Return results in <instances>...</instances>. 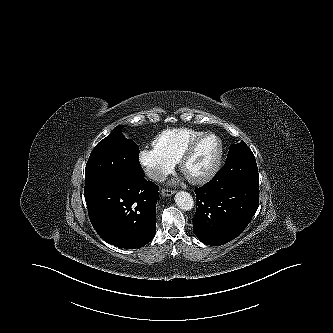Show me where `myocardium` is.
<instances>
[{
  "mask_svg": "<svg viewBox=\"0 0 333 333\" xmlns=\"http://www.w3.org/2000/svg\"><path fill=\"white\" fill-rule=\"evenodd\" d=\"M207 138H215L217 140L218 150H217L215 159L204 172H202L201 174H199L197 176L189 177L185 174L186 164L191 159V157L194 155V153L196 152L199 145ZM222 157H223V143H222L221 139L214 133H210V132L203 133L202 135H200L199 137L194 139L184 150V152L182 153L180 160H179V167H180L181 172L187 177V179L191 183L201 184V183L207 182L209 179H211L214 176V174L217 172V170L221 164Z\"/></svg>",
  "mask_w": 333,
  "mask_h": 333,
  "instance_id": "obj_1",
  "label": "myocardium"
}]
</instances>
